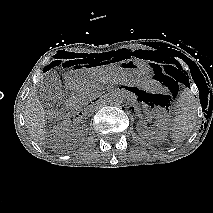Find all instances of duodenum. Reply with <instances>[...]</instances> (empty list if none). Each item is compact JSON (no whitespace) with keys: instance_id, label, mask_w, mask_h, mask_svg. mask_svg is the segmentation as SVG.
<instances>
[{"instance_id":"1","label":"duodenum","mask_w":213,"mask_h":213,"mask_svg":"<svg viewBox=\"0 0 213 213\" xmlns=\"http://www.w3.org/2000/svg\"><path fill=\"white\" fill-rule=\"evenodd\" d=\"M100 100H101V98H95V99L91 102V104H94V103H96V102H99ZM82 115H83V111H77V112L74 114V118H75V119H79V118L82 117Z\"/></svg>"}]
</instances>
